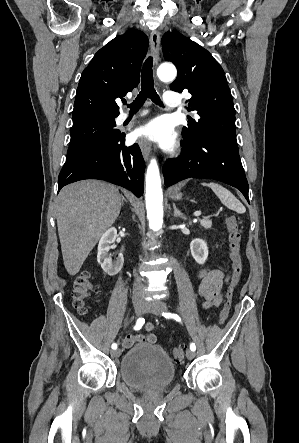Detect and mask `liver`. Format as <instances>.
Returning <instances> with one entry per match:
<instances>
[{
    "mask_svg": "<svg viewBox=\"0 0 299 443\" xmlns=\"http://www.w3.org/2000/svg\"><path fill=\"white\" fill-rule=\"evenodd\" d=\"M122 195L116 186L83 180L64 187L56 201V219L64 266L76 275L103 233L117 219Z\"/></svg>",
    "mask_w": 299,
    "mask_h": 443,
    "instance_id": "liver-1",
    "label": "liver"
}]
</instances>
